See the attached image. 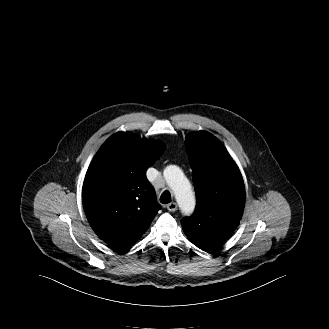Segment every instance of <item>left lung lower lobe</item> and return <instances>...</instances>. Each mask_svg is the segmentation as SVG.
I'll use <instances>...</instances> for the list:
<instances>
[{
	"label": "left lung lower lobe",
	"instance_id": "left-lung-lower-lobe-1",
	"mask_svg": "<svg viewBox=\"0 0 329 329\" xmlns=\"http://www.w3.org/2000/svg\"><path fill=\"white\" fill-rule=\"evenodd\" d=\"M226 238L223 237V238H218V239L211 240V241L207 240V241H202V242H198V243L194 242V244L206 252H211L216 247H218Z\"/></svg>",
	"mask_w": 329,
	"mask_h": 329
}]
</instances>
